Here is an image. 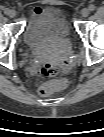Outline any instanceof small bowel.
<instances>
[{"mask_svg": "<svg viewBox=\"0 0 104 137\" xmlns=\"http://www.w3.org/2000/svg\"><path fill=\"white\" fill-rule=\"evenodd\" d=\"M44 9L41 7H34L31 11L30 25L33 29H39L44 26L45 22L41 19L40 15Z\"/></svg>", "mask_w": 104, "mask_h": 137, "instance_id": "1", "label": "small bowel"}]
</instances>
